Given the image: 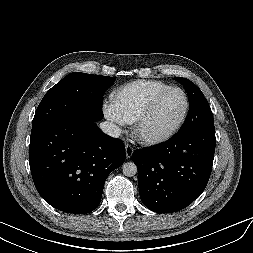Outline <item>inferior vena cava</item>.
<instances>
[{
  "label": "inferior vena cava",
  "instance_id": "obj_1",
  "mask_svg": "<svg viewBox=\"0 0 253 253\" xmlns=\"http://www.w3.org/2000/svg\"><path fill=\"white\" fill-rule=\"evenodd\" d=\"M100 129L107 135L118 138L121 135V129L114 123L105 121L100 123Z\"/></svg>",
  "mask_w": 253,
  "mask_h": 253
}]
</instances>
